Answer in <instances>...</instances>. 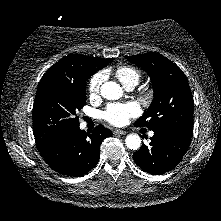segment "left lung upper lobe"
Returning <instances> with one entry per match:
<instances>
[{
	"mask_svg": "<svg viewBox=\"0 0 221 221\" xmlns=\"http://www.w3.org/2000/svg\"><path fill=\"white\" fill-rule=\"evenodd\" d=\"M126 59L146 70L154 88L150 107L134 125L192 137L194 101L182 70L155 52L126 56Z\"/></svg>",
	"mask_w": 221,
	"mask_h": 221,
	"instance_id": "5c2ea615",
	"label": "left lung upper lobe"
}]
</instances>
